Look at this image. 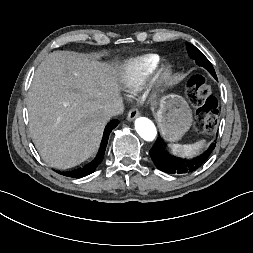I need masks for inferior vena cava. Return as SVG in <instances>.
I'll return each mask as SVG.
<instances>
[{"instance_id": "obj_1", "label": "inferior vena cava", "mask_w": 253, "mask_h": 253, "mask_svg": "<svg viewBox=\"0 0 253 253\" xmlns=\"http://www.w3.org/2000/svg\"><path fill=\"white\" fill-rule=\"evenodd\" d=\"M123 111H124V104H123L122 98L119 97L118 99L107 103L104 106V111L103 112H104V115L108 119H110V117L119 115Z\"/></svg>"}]
</instances>
